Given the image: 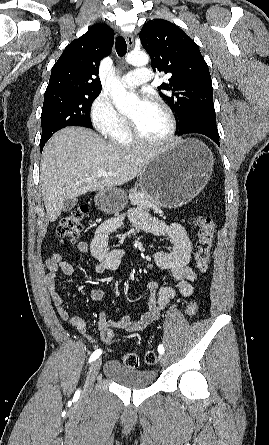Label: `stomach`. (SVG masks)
<instances>
[{
	"instance_id": "obj_1",
	"label": "stomach",
	"mask_w": 269,
	"mask_h": 445,
	"mask_svg": "<svg viewBox=\"0 0 269 445\" xmlns=\"http://www.w3.org/2000/svg\"><path fill=\"white\" fill-rule=\"evenodd\" d=\"M213 164L211 151L200 141L178 139L143 168L140 190L158 206L169 209L184 206L205 187ZM127 202L125 192L118 188H106L95 196L96 206L108 214H118Z\"/></svg>"
}]
</instances>
